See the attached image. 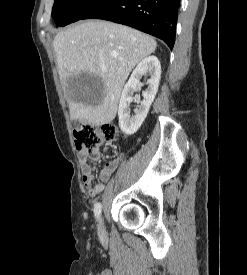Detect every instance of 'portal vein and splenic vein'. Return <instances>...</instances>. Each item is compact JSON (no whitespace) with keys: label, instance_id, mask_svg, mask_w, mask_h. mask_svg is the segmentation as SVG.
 <instances>
[{"label":"portal vein and splenic vein","instance_id":"portal-vein-and-splenic-vein-1","mask_svg":"<svg viewBox=\"0 0 247 275\" xmlns=\"http://www.w3.org/2000/svg\"><path fill=\"white\" fill-rule=\"evenodd\" d=\"M102 71H106V68L104 66L101 67Z\"/></svg>","mask_w":247,"mask_h":275}]
</instances>
